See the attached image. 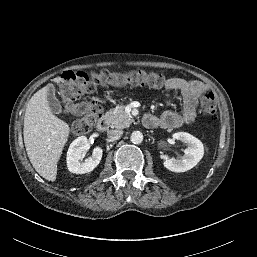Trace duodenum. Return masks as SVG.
Wrapping results in <instances>:
<instances>
[{
    "mask_svg": "<svg viewBox=\"0 0 257 257\" xmlns=\"http://www.w3.org/2000/svg\"><path fill=\"white\" fill-rule=\"evenodd\" d=\"M108 128V119L105 115H103L98 123H97V130L100 132L105 131Z\"/></svg>",
    "mask_w": 257,
    "mask_h": 257,
    "instance_id": "410a0bca",
    "label": "duodenum"
}]
</instances>
